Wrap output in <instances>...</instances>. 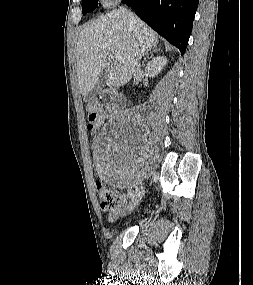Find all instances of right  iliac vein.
Listing matches in <instances>:
<instances>
[{
  "label": "right iliac vein",
  "instance_id": "1",
  "mask_svg": "<svg viewBox=\"0 0 253 285\" xmlns=\"http://www.w3.org/2000/svg\"><path fill=\"white\" fill-rule=\"evenodd\" d=\"M144 192L145 190L143 186L136 188L132 196V199L129 203V206H128L129 211H132L137 206V204L141 201L142 197L144 196Z\"/></svg>",
  "mask_w": 253,
  "mask_h": 285
}]
</instances>
